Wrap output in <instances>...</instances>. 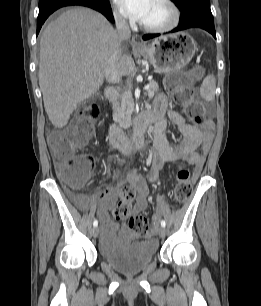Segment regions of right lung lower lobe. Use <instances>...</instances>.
<instances>
[{
  "label": "right lung lower lobe",
  "mask_w": 261,
  "mask_h": 306,
  "mask_svg": "<svg viewBox=\"0 0 261 306\" xmlns=\"http://www.w3.org/2000/svg\"><path fill=\"white\" fill-rule=\"evenodd\" d=\"M69 5H82L101 12L108 20L113 21L109 2L98 0H39V15L37 18V35L45 20L57 9Z\"/></svg>",
  "instance_id": "right-lung-lower-lobe-1"
}]
</instances>
